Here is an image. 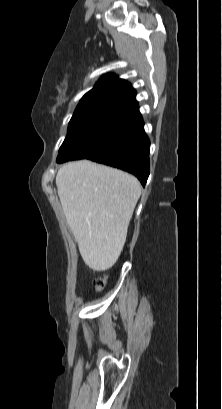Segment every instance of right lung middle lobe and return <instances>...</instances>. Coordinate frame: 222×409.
Returning a JSON list of instances; mask_svg holds the SVG:
<instances>
[{
    "label": "right lung middle lobe",
    "mask_w": 222,
    "mask_h": 409,
    "mask_svg": "<svg viewBox=\"0 0 222 409\" xmlns=\"http://www.w3.org/2000/svg\"><path fill=\"white\" fill-rule=\"evenodd\" d=\"M125 111L121 106L76 109L56 161L83 159L93 153Z\"/></svg>",
    "instance_id": "dd1d6c3e"
}]
</instances>
